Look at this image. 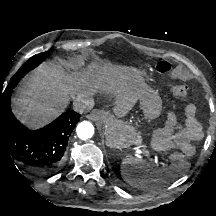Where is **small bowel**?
Masks as SVG:
<instances>
[{
	"label": "small bowel",
	"instance_id": "obj_1",
	"mask_svg": "<svg viewBox=\"0 0 216 216\" xmlns=\"http://www.w3.org/2000/svg\"><path fill=\"white\" fill-rule=\"evenodd\" d=\"M183 113L185 120L179 123L174 113L167 115L162 128V144L171 149H177L186 156L195 153L193 142L203 137L202 125L196 118V107L194 104H187Z\"/></svg>",
	"mask_w": 216,
	"mask_h": 216
}]
</instances>
